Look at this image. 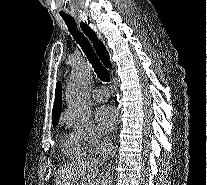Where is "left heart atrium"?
<instances>
[{
	"instance_id": "1",
	"label": "left heart atrium",
	"mask_w": 207,
	"mask_h": 185,
	"mask_svg": "<svg viewBox=\"0 0 207 185\" xmlns=\"http://www.w3.org/2000/svg\"><path fill=\"white\" fill-rule=\"evenodd\" d=\"M117 111L109 105L101 106L96 113L97 122L103 131L111 130L117 122Z\"/></svg>"
}]
</instances>
